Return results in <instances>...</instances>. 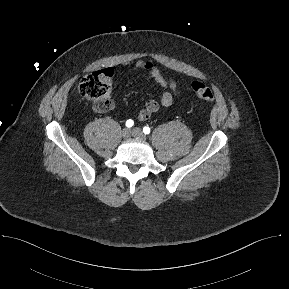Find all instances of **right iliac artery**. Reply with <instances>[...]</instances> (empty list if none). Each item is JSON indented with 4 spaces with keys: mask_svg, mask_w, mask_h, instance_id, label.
Segmentation results:
<instances>
[{
    "mask_svg": "<svg viewBox=\"0 0 289 289\" xmlns=\"http://www.w3.org/2000/svg\"><path fill=\"white\" fill-rule=\"evenodd\" d=\"M133 125H134V121L133 120L129 119V120L126 121V126L128 128H131Z\"/></svg>",
    "mask_w": 289,
    "mask_h": 289,
    "instance_id": "right-iliac-artery-1",
    "label": "right iliac artery"
}]
</instances>
